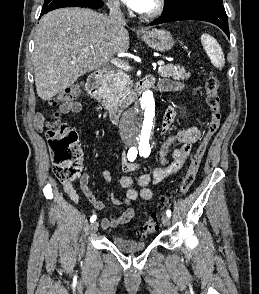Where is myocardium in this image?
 Returning <instances> with one entry per match:
<instances>
[{
	"mask_svg": "<svg viewBox=\"0 0 259 294\" xmlns=\"http://www.w3.org/2000/svg\"><path fill=\"white\" fill-rule=\"evenodd\" d=\"M165 0H155V7L147 13H139V16L143 19H154L159 17L165 10Z\"/></svg>",
	"mask_w": 259,
	"mask_h": 294,
	"instance_id": "1",
	"label": "myocardium"
}]
</instances>
